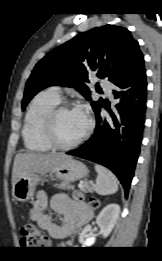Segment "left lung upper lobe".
I'll return each instance as SVG.
<instances>
[{
  "instance_id": "5c2ea615",
  "label": "left lung upper lobe",
  "mask_w": 162,
  "mask_h": 261,
  "mask_svg": "<svg viewBox=\"0 0 162 261\" xmlns=\"http://www.w3.org/2000/svg\"><path fill=\"white\" fill-rule=\"evenodd\" d=\"M143 59L138 42L124 27L105 25L81 33L36 64L26 83L22 109L39 91L54 85L74 87L91 100L86 86L89 73L114 83ZM103 104V99L91 103L95 113Z\"/></svg>"
}]
</instances>
